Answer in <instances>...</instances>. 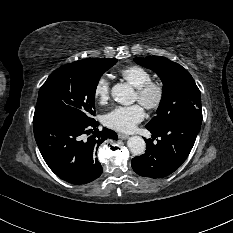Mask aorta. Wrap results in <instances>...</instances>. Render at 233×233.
<instances>
[{
  "instance_id": "762f6f07",
  "label": "aorta",
  "mask_w": 233,
  "mask_h": 233,
  "mask_svg": "<svg viewBox=\"0 0 233 233\" xmlns=\"http://www.w3.org/2000/svg\"><path fill=\"white\" fill-rule=\"evenodd\" d=\"M113 99L122 105H131L135 101L134 91L131 86L125 83H118L111 90ZM127 145L132 154L139 156L146 150V143L140 136L129 138Z\"/></svg>"
}]
</instances>
